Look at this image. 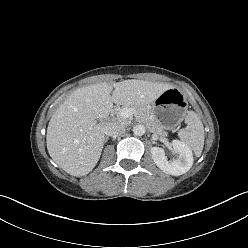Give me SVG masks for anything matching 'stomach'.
<instances>
[{"label": "stomach", "mask_w": 248, "mask_h": 248, "mask_svg": "<svg viewBox=\"0 0 248 248\" xmlns=\"http://www.w3.org/2000/svg\"><path fill=\"white\" fill-rule=\"evenodd\" d=\"M187 101L183 92L175 87L164 91L152 102L150 114L163 129H171L185 117Z\"/></svg>", "instance_id": "0dacf381"}]
</instances>
